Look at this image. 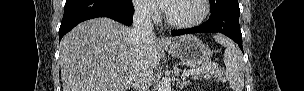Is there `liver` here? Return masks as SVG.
<instances>
[{"mask_svg": "<svg viewBox=\"0 0 304 91\" xmlns=\"http://www.w3.org/2000/svg\"><path fill=\"white\" fill-rule=\"evenodd\" d=\"M146 61L160 63L156 38L147 44ZM138 55L132 28L109 18L87 20L67 33L60 43L63 91H126Z\"/></svg>", "mask_w": 304, "mask_h": 91, "instance_id": "1", "label": "liver"}]
</instances>
